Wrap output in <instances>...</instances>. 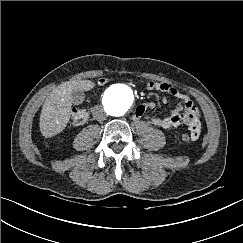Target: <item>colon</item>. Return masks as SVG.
<instances>
[{
    "mask_svg": "<svg viewBox=\"0 0 243 243\" xmlns=\"http://www.w3.org/2000/svg\"><path fill=\"white\" fill-rule=\"evenodd\" d=\"M106 79L102 78L99 80L100 84H104ZM89 109L87 108H75L72 111L70 122L72 125H81L86 122L89 117ZM182 139L184 141H192V136L190 133L182 134Z\"/></svg>",
    "mask_w": 243,
    "mask_h": 243,
    "instance_id": "colon-1",
    "label": "colon"
}]
</instances>
